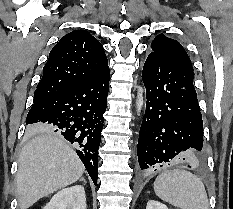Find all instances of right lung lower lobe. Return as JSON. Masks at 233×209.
<instances>
[{"label": "right lung lower lobe", "mask_w": 233, "mask_h": 209, "mask_svg": "<svg viewBox=\"0 0 233 209\" xmlns=\"http://www.w3.org/2000/svg\"><path fill=\"white\" fill-rule=\"evenodd\" d=\"M109 68L79 86L34 102L26 118L30 129L48 126L73 144L94 184L107 107Z\"/></svg>", "instance_id": "right-lung-lower-lobe-1"}]
</instances>
